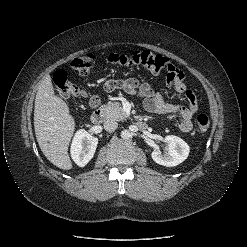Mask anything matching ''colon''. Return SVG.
I'll return each instance as SVG.
<instances>
[{
	"label": "colon",
	"instance_id": "5ec220e1",
	"mask_svg": "<svg viewBox=\"0 0 247 247\" xmlns=\"http://www.w3.org/2000/svg\"><path fill=\"white\" fill-rule=\"evenodd\" d=\"M110 61L122 66L142 67L156 75L165 73L168 82H174L183 77L182 72L171 65L166 58L148 50L136 51L129 55L115 54L110 57ZM94 62L95 58L92 54H85L71 60L70 66L80 74H86L92 68ZM53 80L58 96L63 99L86 96L85 91L74 84L63 70L56 71ZM209 126L210 120L206 114H199L196 117V127L200 134H205Z\"/></svg>",
	"mask_w": 247,
	"mask_h": 247
}]
</instances>
